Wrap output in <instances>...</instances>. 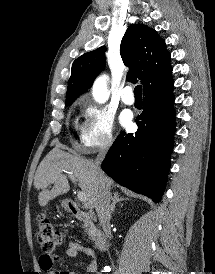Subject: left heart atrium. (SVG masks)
<instances>
[{
  "label": "left heart atrium",
  "mask_w": 215,
  "mask_h": 274,
  "mask_svg": "<svg viewBox=\"0 0 215 274\" xmlns=\"http://www.w3.org/2000/svg\"><path fill=\"white\" fill-rule=\"evenodd\" d=\"M131 117L128 113H125L121 116V123L124 126H127L130 123Z\"/></svg>",
  "instance_id": "left-heart-atrium-1"
}]
</instances>
